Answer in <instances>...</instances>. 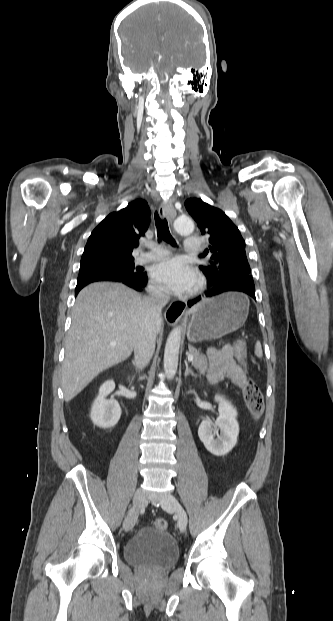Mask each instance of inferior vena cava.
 <instances>
[{"label":"inferior vena cava","instance_id":"obj_1","mask_svg":"<svg viewBox=\"0 0 333 621\" xmlns=\"http://www.w3.org/2000/svg\"><path fill=\"white\" fill-rule=\"evenodd\" d=\"M170 293L163 288H155L144 299L146 317L138 330L134 345L135 362L138 369L146 367L155 350L156 335L162 323V308L169 302Z\"/></svg>","mask_w":333,"mask_h":621}]
</instances>
